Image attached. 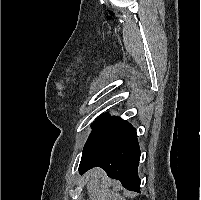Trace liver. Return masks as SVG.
Returning a JSON list of instances; mask_svg holds the SVG:
<instances>
[{"instance_id":"1","label":"liver","mask_w":201,"mask_h":200,"mask_svg":"<svg viewBox=\"0 0 201 200\" xmlns=\"http://www.w3.org/2000/svg\"><path fill=\"white\" fill-rule=\"evenodd\" d=\"M103 174V171L95 169L87 173L89 200H124L120 194L109 189L110 182L102 180Z\"/></svg>"}]
</instances>
